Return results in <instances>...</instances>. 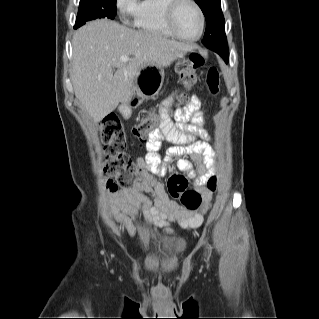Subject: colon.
Listing matches in <instances>:
<instances>
[{"label": "colon", "instance_id": "5ec220e1", "mask_svg": "<svg viewBox=\"0 0 319 319\" xmlns=\"http://www.w3.org/2000/svg\"><path fill=\"white\" fill-rule=\"evenodd\" d=\"M204 64L203 57L198 53H190L179 60L177 68L181 82L186 87H192L197 82L195 70ZM220 75L215 66L208 69L205 87L211 95L219 92ZM159 121L155 115H149L133 128L136 138L144 141L146 136L157 130ZM101 137L104 145V168L110 179L108 187L116 189L118 186L128 187L139 176L141 166L127 153V135L119 119L113 118L101 126ZM188 180L182 175H173L168 179L169 193L180 201L188 211H195L201 205V194L195 190L186 189ZM207 189L214 193L217 189L215 177L206 183Z\"/></svg>", "mask_w": 319, "mask_h": 319}]
</instances>
